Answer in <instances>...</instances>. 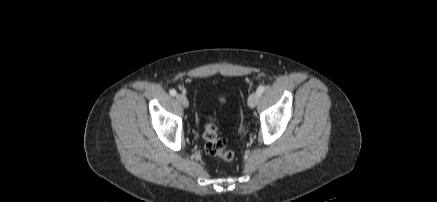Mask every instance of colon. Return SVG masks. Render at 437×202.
<instances>
[{
    "label": "colon",
    "instance_id": "5ec220e1",
    "mask_svg": "<svg viewBox=\"0 0 437 202\" xmlns=\"http://www.w3.org/2000/svg\"><path fill=\"white\" fill-rule=\"evenodd\" d=\"M223 101L224 97H220L219 102L222 103ZM203 139L206 153L217 156L226 163H234L235 155L232 151L226 149V141L218 134V129L212 116L208 118L205 125Z\"/></svg>",
    "mask_w": 437,
    "mask_h": 202
}]
</instances>
